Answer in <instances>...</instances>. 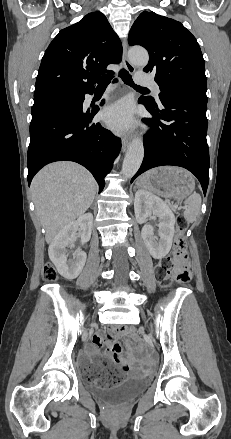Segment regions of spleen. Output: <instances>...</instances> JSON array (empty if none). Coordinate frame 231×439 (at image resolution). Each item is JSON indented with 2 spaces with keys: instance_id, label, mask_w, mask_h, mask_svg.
<instances>
[{
  "instance_id": "spleen-1",
  "label": "spleen",
  "mask_w": 231,
  "mask_h": 439,
  "mask_svg": "<svg viewBox=\"0 0 231 439\" xmlns=\"http://www.w3.org/2000/svg\"><path fill=\"white\" fill-rule=\"evenodd\" d=\"M201 207V196L193 193L185 200L184 218L188 222H194L199 215Z\"/></svg>"
}]
</instances>
